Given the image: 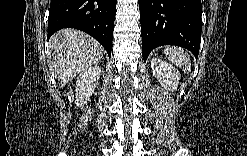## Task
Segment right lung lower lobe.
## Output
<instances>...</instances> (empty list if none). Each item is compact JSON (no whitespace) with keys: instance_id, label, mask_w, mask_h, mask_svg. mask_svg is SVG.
<instances>
[{"instance_id":"1","label":"right lung lower lobe","mask_w":247,"mask_h":156,"mask_svg":"<svg viewBox=\"0 0 247 156\" xmlns=\"http://www.w3.org/2000/svg\"><path fill=\"white\" fill-rule=\"evenodd\" d=\"M116 2V0H51L48 38L63 28L82 30L104 46L110 57Z\"/></svg>"}]
</instances>
